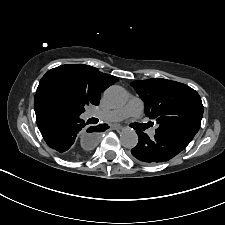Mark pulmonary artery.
I'll list each match as a JSON object with an SVG mask.
<instances>
[{
    "instance_id": "1",
    "label": "pulmonary artery",
    "mask_w": 225,
    "mask_h": 225,
    "mask_svg": "<svg viewBox=\"0 0 225 225\" xmlns=\"http://www.w3.org/2000/svg\"><path fill=\"white\" fill-rule=\"evenodd\" d=\"M144 110V103L138 97H131L128 103L118 109L111 111H94L90 115L104 122H116L128 117L138 118ZM148 134L153 137L155 129H151Z\"/></svg>"
}]
</instances>
